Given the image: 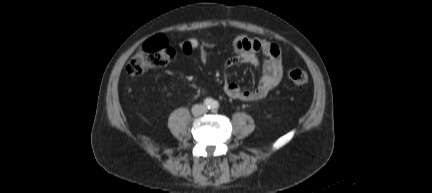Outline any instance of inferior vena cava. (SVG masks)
I'll return each instance as SVG.
<instances>
[{
	"label": "inferior vena cava",
	"instance_id": "1",
	"mask_svg": "<svg viewBox=\"0 0 432 193\" xmlns=\"http://www.w3.org/2000/svg\"><path fill=\"white\" fill-rule=\"evenodd\" d=\"M200 107L202 108V111L204 112V111H205V107H204V106H202V105H201Z\"/></svg>",
	"mask_w": 432,
	"mask_h": 193
}]
</instances>
